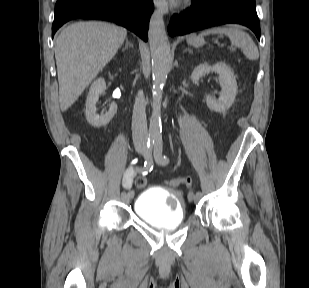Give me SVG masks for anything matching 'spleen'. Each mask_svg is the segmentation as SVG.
I'll return each instance as SVG.
<instances>
[{"label":"spleen","mask_w":309,"mask_h":288,"mask_svg":"<svg viewBox=\"0 0 309 288\" xmlns=\"http://www.w3.org/2000/svg\"><path fill=\"white\" fill-rule=\"evenodd\" d=\"M209 34L226 35L234 46L243 50V53L247 59L254 61L259 58L257 46L251 37L240 29L235 27H215L203 31L200 36H206Z\"/></svg>","instance_id":"3e777b00"}]
</instances>
